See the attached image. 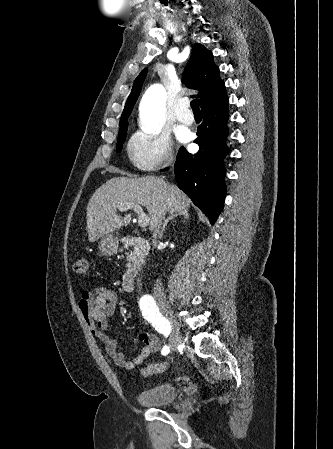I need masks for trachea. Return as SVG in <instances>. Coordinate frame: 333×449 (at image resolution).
Listing matches in <instances>:
<instances>
[{"mask_svg": "<svg viewBox=\"0 0 333 449\" xmlns=\"http://www.w3.org/2000/svg\"><path fill=\"white\" fill-rule=\"evenodd\" d=\"M191 108L193 112H200L198 99H194L191 101Z\"/></svg>", "mask_w": 333, "mask_h": 449, "instance_id": "3493384b", "label": "trachea"}]
</instances>
